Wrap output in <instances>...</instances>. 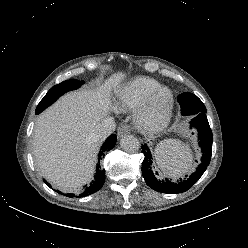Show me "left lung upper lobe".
I'll use <instances>...</instances> for the list:
<instances>
[{
    "label": "left lung upper lobe",
    "mask_w": 248,
    "mask_h": 248,
    "mask_svg": "<svg viewBox=\"0 0 248 248\" xmlns=\"http://www.w3.org/2000/svg\"><path fill=\"white\" fill-rule=\"evenodd\" d=\"M178 102L183 115H192L199 112H206L202 101L194 94L185 92L179 95Z\"/></svg>",
    "instance_id": "obj_1"
}]
</instances>
